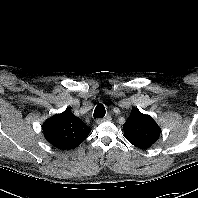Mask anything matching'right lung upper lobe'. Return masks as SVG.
Listing matches in <instances>:
<instances>
[{
	"mask_svg": "<svg viewBox=\"0 0 198 198\" xmlns=\"http://www.w3.org/2000/svg\"><path fill=\"white\" fill-rule=\"evenodd\" d=\"M90 131L91 129L70 109L52 116L43 125L46 140L54 147L62 150L78 147L87 138Z\"/></svg>",
	"mask_w": 198,
	"mask_h": 198,
	"instance_id": "1",
	"label": "right lung upper lobe"
}]
</instances>
